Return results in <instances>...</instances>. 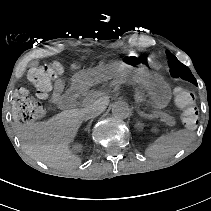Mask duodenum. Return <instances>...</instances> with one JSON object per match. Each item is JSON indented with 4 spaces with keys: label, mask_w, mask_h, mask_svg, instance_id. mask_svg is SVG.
<instances>
[{
    "label": "duodenum",
    "mask_w": 211,
    "mask_h": 211,
    "mask_svg": "<svg viewBox=\"0 0 211 211\" xmlns=\"http://www.w3.org/2000/svg\"><path fill=\"white\" fill-rule=\"evenodd\" d=\"M82 90V86L80 83H74L71 87L67 90V92L59 99L58 105L62 109L70 108L77 97L80 95Z\"/></svg>",
    "instance_id": "1"
}]
</instances>
